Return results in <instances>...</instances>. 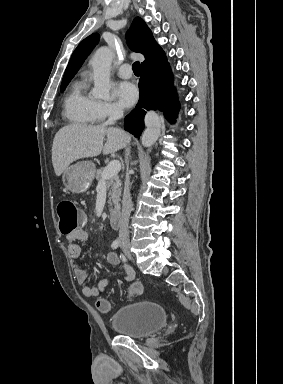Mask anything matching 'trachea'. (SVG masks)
Returning <instances> with one entry per match:
<instances>
[{
    "mask_svg": "<svg viewBox=\"0 0 283 384\" xmlns=\"http://www.w3.org/2000/svg\"><path fill=\"white\" fill-rule=\"evenodd\" d=\"M132 68H133L134 74H138L139 75V73H140L139 62H134L133 65H132Z\"/></svg>",
    "mask_w": 283,
    "mask_h": 384,
    "instance_id": "3493384b",
    "label": "trachea"
}]
</instances>
